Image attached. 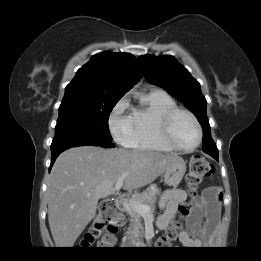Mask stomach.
I'll return each mask as SVG.
<instances>
[{
  "label": "stomach",
  "mask_w": 261,
  "mask_h": 261,
  "mask_svg": "<svg viewBox=\"0 0 261 261\" xmlns=\"http://www.w3.org/2000/svg\"><path fill=\"white\" fill-rule=\"evenodd\" d=\"M186 172V163L180 157H177L171 166L163 173L164 183L167 186H177Z\"/></svg>",
  "instance_id": "0dacf381"
}]
</instances>
